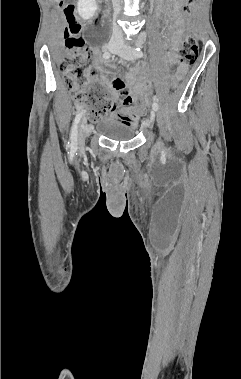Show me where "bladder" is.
Segmentation results:
<instances>
[{
    "instance_id": "31cf9c89",
    "label": "bladder",
    "mask_w": 241,
    "mask_h": 379,
    "mask_svg": "<svg viewBox=\"0 0 241 379\" xmlns=\"http://www.w3.org/2000/svg\"><path fill=\"white\" fill-rule=\"evenodd\" d=\"M98 130L103 136L115 141H129L135 137V127L115 117H105Z\"/></svg>"
}]
</instances>
